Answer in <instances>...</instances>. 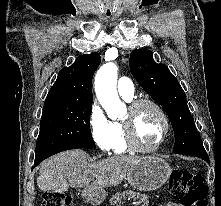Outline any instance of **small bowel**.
<instances>
[{
  "mask_svg": "<svg viewBox=\"0 0 221 206\" xmlns=\"http://www.w3.org/2000/svg\"><path fill=\"white\" fill-rule=\"evenodd\" d=\"M159 206H180L176 203H167V204H164V205H159Z\"/></svg>",
  "mask_w": 221,
  "mask_h": 206,
  "instance_id": "c3829d8e",
  "label": "small bowel"
}]
</instances>
